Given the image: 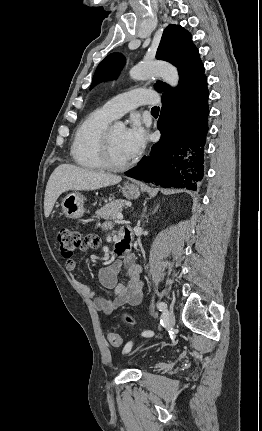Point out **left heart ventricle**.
Here are the masks:
<instances>
[{
	"label": "left heart ventricle",
	"mask_w": 262,
	"mask_h": 431,
	"mask_svg": "<svg viewBox=\"0 0 262 431\" xmlns=\"http://www.w3.org/2000/svg\"><path fill=\"white\" fill-rule=\"evenodd\" d=\"M124 135V129L122 128H112L111 129V149L112 155L117 162H127L130 158L124 151L122 145V138Z\"/></svg>",
	"instance_id": "obj_1"
}]
</instances>
